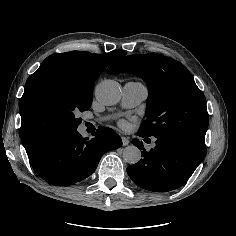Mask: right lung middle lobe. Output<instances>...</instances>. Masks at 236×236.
<instances>
[{
  "label": "right lung middle lobe",
  "mask_w": 236,
  "mask_h": 236,
  "mask_svg": "<svg viewBox=\"0 0 236 236\" xmlns=\"http://www.w3.org/2000/svg\"><path fill=\"white\" fill-rule=\"evenodd\" d=\"M96 79H85L67 68L33 73L20 101V135L27 153L54 135L76 130L79 112L90 108Z\"/></svg>",
  "instance_id": "obj_1"
}]
</instances>
